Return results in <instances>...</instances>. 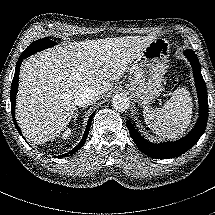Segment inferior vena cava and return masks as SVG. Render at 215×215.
Segmentation results:
<instances>
[{
  "instance_id": "602c4592",
  "label": "inferior vena cava",
  "mask_w": 215,
  "mask_h": 215,
  "mask_svg": "<svg viewBox=\"0 0 215 215\" xmlns=\"http://www.w3.org/2000/svg\"><path fill=\"white\" fill-rule=\"evenodd\" d=\"M102 94L94 89L79 90L75 93L74 102L79 107H87L101 98Z\"/></svg>"
}]
</instances>
